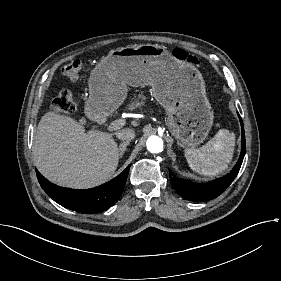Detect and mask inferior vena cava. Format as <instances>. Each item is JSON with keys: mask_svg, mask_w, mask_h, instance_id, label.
I'll list each match as a JSON object with an SVG mask.
<instances>
[{"mask_svg": "<svg viewBox=\"0 0 281 281\" xmlns=\"http://www.w3.org/2000/svg\"><path fill=\"white\" fill-rule=\"evenodd\" d=\"M116 136L122 141H131L132 139L135 138V131L133 129L126 128L117 132Z\"/></svg>", "mask_w": 281, "mask_h": 281, "instance_id": "inferior-vena-cava-1", "label": "inferior vena cava"}]
</instances>
